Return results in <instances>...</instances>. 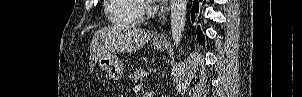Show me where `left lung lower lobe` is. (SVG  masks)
<instances>
[{
  "instance_id": "left-lung-lower-lobe-1",
  "label": "left lung lower lobe",
  "mask_w": 302,
  "mask_h": 97,
  "mask_svg": "<svg viewBox=\"0 0 302 97\" xmlns=\"http://www.w3.org/2000/svg\"><path fill=\"white\" fill-rule=\"evenodd\" d=\"M199 1H202V0H199ZM199 10V3H198V0H195L193 2V7H192V10H191V18H192V21H194V14L195 12H198ZM197 41L201 44V45H204L205 44V40H204V37L200 31V28L198 27L197 29Z\"/></svg>"
}]
</instances>
